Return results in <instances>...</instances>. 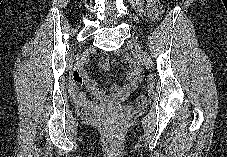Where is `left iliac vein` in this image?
Returning a JSON list of instances; mask_svg holds the SVG:
<instances>
[{"label":"left iliac vein","mask_w":227,"mask_h":157,"mask_svg":"<svg viewBox=\"0 0 227 157\" xmlns=\"http://www.w3.org/2000/svg\"><path fill=\"white\" fill-rule=\"evenodd\" d=\"M128 47L136 54L145 67H151V60L147 52L141 47V45L137 42H128Z\"/></svg>","instance_id":"left-iliac-vein-1"}]
</instances>
